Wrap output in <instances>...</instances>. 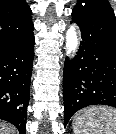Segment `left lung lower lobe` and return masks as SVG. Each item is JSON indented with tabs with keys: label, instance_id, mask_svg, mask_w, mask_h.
<instances>
[{
	"label": "left lung lower lobe",
	"instance_id": "obj_1",
	"mask_svg": "<svg viewBox=\"0 0 116 134\" xmlns=\"http://www.w3.org/2000/svg\"><path fill=\"white\" fill-rule=\"evenodd\" d=\"M81 30L77 55L65 60L63 76L65 126L90 105L116 107V20L95 11H72Z\"/></svg>",
	"mask_w": 116,
	"mask_h": 134
}]
</instances>
